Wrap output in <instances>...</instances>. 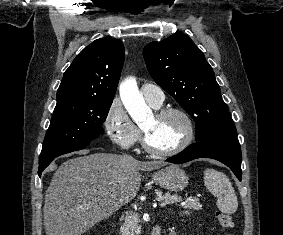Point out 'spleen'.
<instances>
[{
	"label": "spleen",
	"mask_w": 283,
	"mask_h": 235,
	"mask_svg": "<svg viewBox=\"0 0 283 235\" xmlns=\"http://www.w3.org/2000/svg\"><path fill=\"white\" fill-rule=\"evenodd\" d=\"M204 185L217 197V207L223 213L233 214L238 208L237 196L228 177L215 169L204 171Z\"/></svg>",
	"instance_id": "3e777b00"
}]
</instances>
